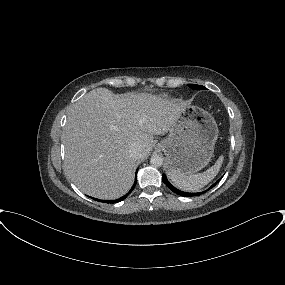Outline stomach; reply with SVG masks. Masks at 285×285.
I'll return each mask as SVG.
<instances>
[{
    "mask_svg": "<svg viewBox=\"0 0 285 285\" xmlns=\"http://www.w3.org/2000/svg\"><path fill=\"white\" fill-rule=\"evenodd\" d=\"M213 116L196 106H187L169 131L157 144L166 155L168 173L194 174L208 165L218 138Z\"/></svg>",
    "mask_w": 285,
    "mask_h": 285,
    "instance_id": "stomach-1",
    "label": "stomach"
}]
</instances>
